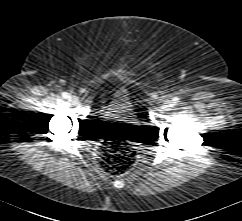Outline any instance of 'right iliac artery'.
I'll return each instance as SVG.
<instances>
[{"label":"right iliac artery","instance_id":"1","mask_svg":"<svg viewBox=\"0 0 242 221\" xmlns=\"http://www.w3.org/2000/svg\"><path fill=\"white\" fill-rule=\"evenodd\" d=\"M61 96H62V98H64V99H67V98L70 97L69 93H67V92H63Z\"/></svg>","mask_w":242,"mask_h":221}]
</instances>
